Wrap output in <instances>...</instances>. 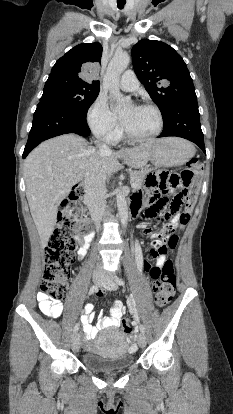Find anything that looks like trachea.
<instances>
[{
	"mask_svg": "<svg viewBox=\"0 0 233 414\" xmlns=\"http://www.w3.org/2000/svg\"><path fill=\"white\" fill-rule=\"evenodd\" d=\"M126 4V0H117V6L119 9H123Z\"/></svg>",
	"mask_w": 233,
	"mask_h": 414,
	"instance_id": "obj_1",
	"label": "trachea"
}]
</instances>
